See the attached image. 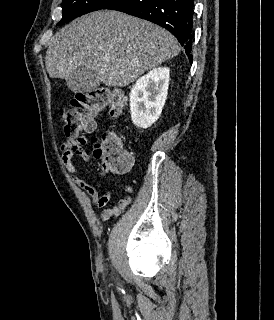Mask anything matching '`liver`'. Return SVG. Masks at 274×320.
<instances>
[{"label":"liver","mask_w":274,"mask_h":320,"mask_svg":"<svg viewBox=\"0 0 274 320\" xmlns=\"http://www.w3.org/2000/svg\"><path fill=\"white\" fill-rule=\"evenodd\" d=\"M178 54L179 42L164 28L123 12L100 10L56 32L45 66L50 78L67 80L68 88L84 72H95L105 86L124 88Z\"/></svg>","instance_id":"6515ba94"}]
</instances>
